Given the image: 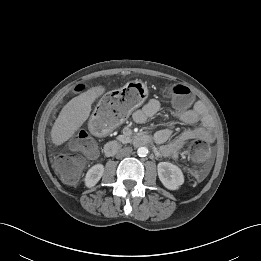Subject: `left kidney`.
<instances>
[{"instance_id":"5707ae66","label":"left kidney","mask_w":261,"mask_h":261,"mask_svg":"<svg viewBox=\"0 0 261 261\" xmlns=\"http://www.w3.org/2000/svg\"><path fill=\"white\" fill-rule=\"evenodd\" d=\"M158 177L169 190H177L184 183L181 169L169 162H160L157 165Z\"/></svg>"}]
</instances>
